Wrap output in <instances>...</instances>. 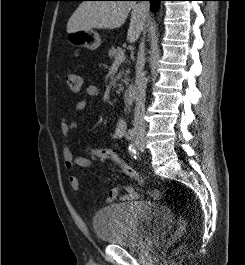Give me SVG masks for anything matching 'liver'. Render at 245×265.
I'll return each instance as SVG.
<instances>
[{
  "label": "liver",
  "instance_id": "1",
  "mask_svg": "<svg viewBox=\"0 0 245 265\" xmlns=\"http://www.w3.org/2000/svg\"><path fill=\"white\" fill-rule=\"evenodd\" d=\"M131 12L127 40L135 42L144 30L147 14L139 3L131 1H85L79 5L67 23V33L91 29L113 30L121 27Z\"/></svg>",
  "mask_w": 245,
  "mask_h": 265
}]
</instances>
